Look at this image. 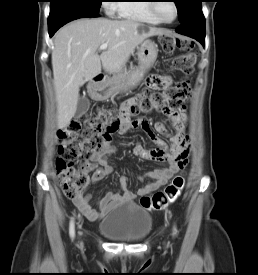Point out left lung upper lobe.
<instances>
[{
    "label": "left lung upper lobe",
    "instance_id": "left-lung-upper-lobe-1",
    "mask_svg": "<svg viewBox=\"0 0 258 275\" xmlns=\"http://www.w3.org/2000/svg\"><path fill=\"white\" fill-rule=\"evenodd\" d=\"M200 0H174L178 9L179 21L183 22L187 19L190 9Z\"/></svg>",
    "mask_w": 258,
    "mask_h": 275
}]
</instances>
